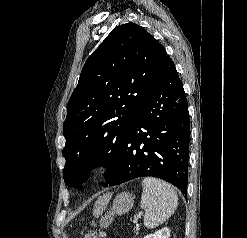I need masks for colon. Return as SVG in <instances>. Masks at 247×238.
I'll list each match as a JSON object with an SVG mask.
<instances>
[{"label":"colon","mask_w":247,"mask_h":238,"mask_svg":"<svg viewBox=\"0 0 247 238\" xmlns=\"http://www.w3.org/2000/svg\"><path fill=\"white\" fill-rule=\"evenodd\" d=\"M105 234L103 231L89 232L85 238H104Z\"/></svg>","instance_id":"5ec220e1"}]
</instances>
